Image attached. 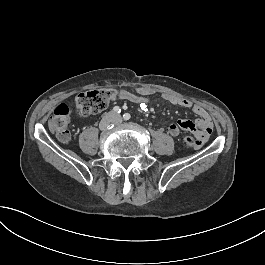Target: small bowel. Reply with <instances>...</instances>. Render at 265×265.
<instances>
[{"label":"small bowel","mask_w":265,"mask_h":265,"mask_svg":"<svg viewBox=\"0 0 265 265\" xmlns=\"http://www.w3.org/2000/svg\"><path fill=\"white\" fill-rule=\"evenodd\" d=\"M116 94L120 100L136 103L140 106L148 104L154 97L159 95L161 99L173 106L192 111L197 116L196 119H180L171 123L168 126V133L172 137H177L181 131L191 132L199 142L194 146L197 150L200 149V144L208 140L212 132L213 124L208 111L186 98L168 93L158 94L154 89L147 87H136L133 91L120 88L116 90Z\"/></svg>","instance_id":"obj_1"}]
</instances>
